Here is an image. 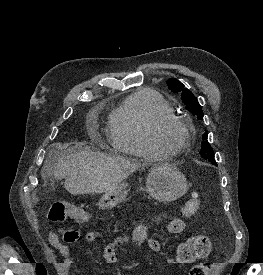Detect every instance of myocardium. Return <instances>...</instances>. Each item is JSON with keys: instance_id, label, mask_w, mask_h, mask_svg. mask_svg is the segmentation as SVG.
<instances>
[{"instance_id": "f54148a6", "label": "myocardium", "mask_w": 263, "mask_h": 275, "mask_svg": "<svg viewBox=\"0 0 263 275\" xmlns=\"http://www.w3.org/2000/svg\"><path fill=\"white\" fill-rule=\"evenodd\" d=\"M170 126L178 128L182 133L180 140L175 145L165 144L160 138V132ZM190 137L191 130L189 124L176 115L170 114L160 116L153 123L149 132L150 142L153 147L166 155H174L179 153L187 146L190 141Z\"/></svg>"}]
</instances>
